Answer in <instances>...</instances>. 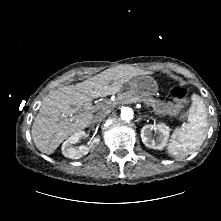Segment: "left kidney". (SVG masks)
<instances>
[{"label": "left kidney", "mask_w": 221, "mask_h": 221, "mask_svg": "<svg viewBox=\"0 0 221 221\" xmlns=\"http://www.w3.org/2000/svg\"><path fill=\"white\" fill-rule=\"evenodd\" d=\"M155 131L159 135L158 139L155 141L152 138V131ZM169 127L165 124L157 125H145L141 129V139L145 146L152 149H163L165 147L168 137H169Z\"/></svg>", "instance_id": "1"}]
</instances>
